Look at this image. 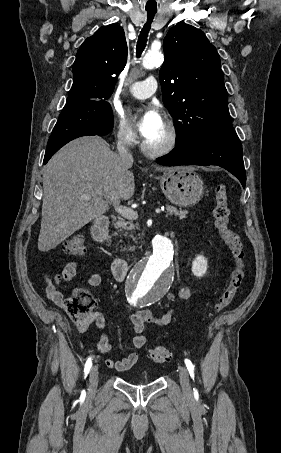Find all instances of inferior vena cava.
<instances>
[{
	"label": "inferior vena cava",
	"instance_id": "602c4592",
	"mask_svg": "<svg viewBox=\"0 0 281 453\" xmlns=\"http://www.w3.org/2000/svg\"><path fill=\"white\" fill-rule=\"evenodd\" d=\"M128 142H129V140H128V138H126L125 134H119L118 142H117V150H118L119 156H121V158H122V160H124V162H130V164H132L133 156H132V152H129V150L127 148Z\"/></svg>",
	"mask_w": 281,
	"mask_h": 453
}]
</instances>
